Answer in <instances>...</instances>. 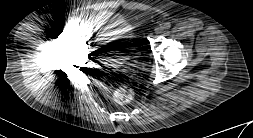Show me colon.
Returning <instances> with one entry per match:
<instances>
[{"label":"colon","instance_id":"1","mask_svg":"<svg viewBox=\"0 0 253 138\" xmlns=\"http://www.w3.org/2000/svg\"><path fill=\"white\" fill-rule=\"evenodd\" d=\"M134 98V88L128 82H122L114 90V99L119 104H128Z\"/></svg>","mask_w":253,"mask_h":138}]
</instances>
